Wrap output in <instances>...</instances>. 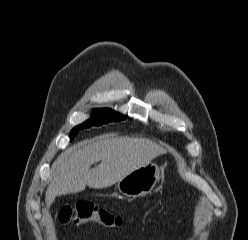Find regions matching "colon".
Returning <instances> with one entry per match:
<instances>
[{"label": "colon", "mask_w": 248, "mask_h": 240, "mask_svg": "<svg viewBox=\"0 0 248 240\" xmlns=\"http://www.w3.org/2000/svg\"><path fill=\"white\" fill-rule=\"evenodd\" d=\"M63 224L78 226L95 223L108 229H120L124 224L122 216L98 207L89 201H80L73 206H65L59 212Z\"/></svg>", "instance_id": "5ec220e1"}]
</instances>
